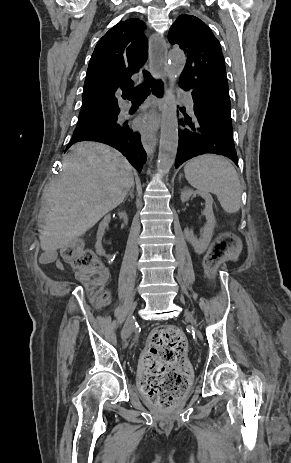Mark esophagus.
Masks as SVG:
<instances>
[{
  "instance_id": "esophagus-1",
  "label": "esophagus",
  "mask_w": 291,
  "mask_h": 463,
  "mask_svg": "<svg viewBox=\"0 0 291 463\" xmlns=\"http://www.w3.org/2000/svg\"><path fill=\"white\" fill-rule=\"evenodd\" d=\"M149 49H150L151 68L156 76L164 80L165 75H166V67H167L166 41L162 37H160L158 34L153 33L150 37ZM161 108H162V102L156 99L153 105V110L157 112L156 117L158 118V120H159L158 111H160ZM158 127H159V123L155 130L148 132V133L141 134L142 144L148 155H152L155 150V146L158 141V137H157Z\"/></svg>"
}]
</instances>
